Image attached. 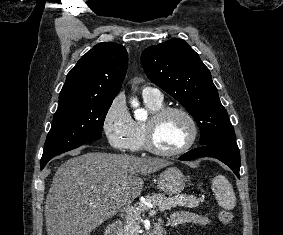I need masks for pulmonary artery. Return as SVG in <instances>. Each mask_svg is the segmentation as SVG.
I'll return each mask as SVG.
<instances>
[{
	"label": "pulmonary artery",
	"mask_w": 283,
	"mask_h": 235,
	"mask_svg": "<svg viewBox=\"0 0 283 235\" xmlns=\"http://www.w3.org/2000/svg\"><path fill=\"white\" fill-rule=\"evenodd\" d=\"M143 98L162 99V94L159 89L154 87H144L142 90Z\"/></svg>",
	"instance_id": "1"
}]
</instances>
